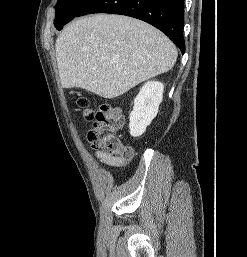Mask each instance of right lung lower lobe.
Returning <instances> with one entry per match:
<instances>
[{
    "mask_svg": "<svg viewBox=\"0 0 247 257\" xmlns=\"http://www.w3.org/2000/svg\"><path fill=\"white\" fill-rule=\"evenodd\" d=\"M183 10L184 0H92L76 17L90 13H110L143 20L160 29L184 54Z\"/></svg>",
    "mask_w": 247,
    "mask_h": 257,
    "instance_id": "obj_1",
    "label": "right lung lower lobe"
}]
</instances>
